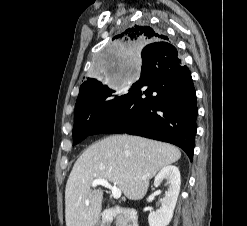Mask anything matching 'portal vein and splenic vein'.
I'll return each mask as SVG.
<instances>
[{
    "label": "portal vein and splenic vein",
    "mask_w": 247,
    "mask_h": 226,
    "mask_svg": "<svg viewBox=\"0 0 247 226\" xmlns=\"http://www.w3.org/2000/svg\"><path fill=\"white\" fill-rule=\"evenodd\" d=\"M97 185H101L105 188H108L111 190L112 192V196L114 199H119L122 195V192L121 190L116 187V186H112L107 180L105 179H95L93 182H92V187H96Z\"/></svg>",
    "instance_id": "obj_1"
}]
</instances>
